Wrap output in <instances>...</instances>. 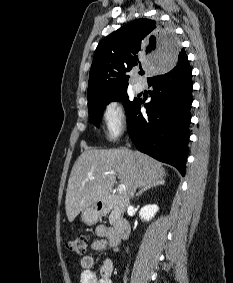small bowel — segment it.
I'll return each instance as SVG.
<instances>
[{
  "instance_id": "obj_1",
  "label": "small bowel",
  "mask_w": 233,
  "mask_h": 283,
  "mask_svg": "<svg viewBox=\"0 0 233 283\" xmlns=\"http://www.w3.org/2000/svg\"><path fill=\"white\" fill-rule=\"evenodd\" d=\"M97 240L91 243V249L95 251L103 250L107 247L116 249L119 246V241L115 237L114 230L108 226L100 225L96 228ZM82 273L80 283H113V262L107 258L103 261L100 267V277L97 278L94 271V257L85 255L80 260Z\"/></svg>"
}]
</instances>
